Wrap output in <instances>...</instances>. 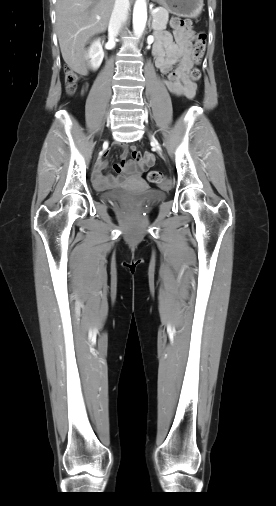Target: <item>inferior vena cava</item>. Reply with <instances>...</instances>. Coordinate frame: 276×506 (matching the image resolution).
Wrapping results in <instances>:
<instances>
[{
	"mask_svg": "<svg viewBox=\"0 0 276 506\" xmlns=\"http://www.w3.org/2000/svg\"><path fill=\"white\" fill-rule=\"evenodd\" d=\"M129 8V0H115L108 26V37L110 42L114 43V39L119 34L123 23L126 22Z\"/></svg>",
	"mask_w": 276,
	"mask_h": 506,
	"instance_id": "602c4592",
	"label": "inferior vena cava"
}]
</instances>
